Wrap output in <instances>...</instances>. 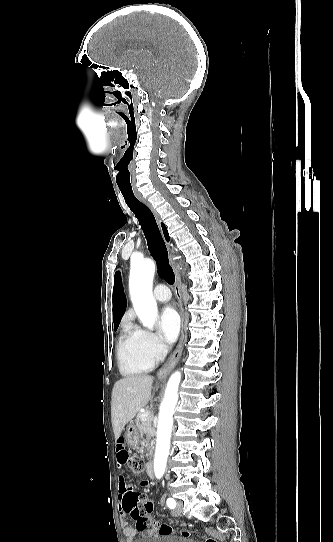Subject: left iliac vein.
Segmentation results:
<instances>
[{
  "label": "left iliac vein",
  "mask_w": 333,
  "mask_h": 542,
  "mask_svg": "<svg viewBox=\"0 0 333 542\" xmlns=\"http://www.w3.org/2000/svg\"><path fill=\"white\" fill-rule=\"evenodd\" d=\"M182 506H183L182 502H181V501H177L176 508L172 511V514H173L174 516L180 515Z\"/></svg>",
  "instance_id": "4c4485c4"
}]
</instances>
